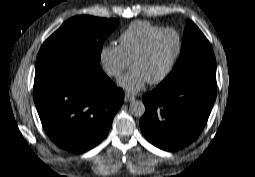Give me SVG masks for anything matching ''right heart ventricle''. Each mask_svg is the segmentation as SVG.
Listing matches in <instances>:
<instances>
[{
    "mask_svg": "<svg viewBox=\"0 0 255 177\" xmlns=\"http://www.w3.org/2000/svg\"><path fill=\"white\" fill-rule=\"evenodd\" d=\"M161 29L162 26L147 21L130 23L119 37V44L126 60L130 62L148 38Z\"/></svg>",
    "mask_w": 255,
    "mask_h": 177,
    "instance_id": "obj_1",
    "label": "right heart ventricle"
}]
</instances>
